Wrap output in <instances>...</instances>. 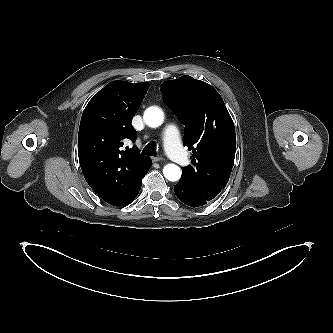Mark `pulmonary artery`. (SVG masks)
<instances>
[{
	"label": "pulmonary artery",
	"instance_id": "pulmonary-artery-1",
	"mask_svg": "<svg viewBox=\"0 0 333 333\" xmlns=\"http://www.w3.org/2000/svg\"><path fill=\"white\" fill-rule=\"evenodd\" d=\"M163 141L167 153L173 160L183 165L188 163V158L182 149L180 132L174 124L165 127Z\"/></svg>",
	"mask_w": 333,
	"mask_h": 333
}]
</instances>
